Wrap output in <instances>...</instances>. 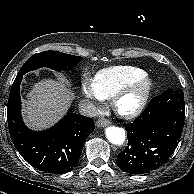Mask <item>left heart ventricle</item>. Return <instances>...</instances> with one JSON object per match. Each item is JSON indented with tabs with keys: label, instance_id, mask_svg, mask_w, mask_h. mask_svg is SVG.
Segmentation results:
<instances>
[{
	"label": "left heart ventricle",
	"instance_id": "left-heart-ventricle-1",
	"mask_svg": "<svg viewBox=\"0 0 194 194\" xmlns=\"http://www.w3.org/2000/svg\"><path fill=\"white\" fill-rule=\"evenodd\" d=\"M142 91L143 87L135 90L134 92L126 96L120 103L121 108L124 110H131L132 108H134L140 100Z\"/></svg>",
	"mask_w": 194,
	"mask_h": 194
}]
</instances>
